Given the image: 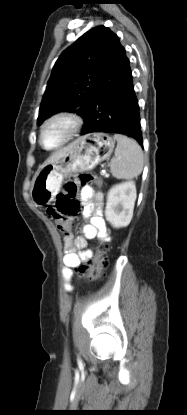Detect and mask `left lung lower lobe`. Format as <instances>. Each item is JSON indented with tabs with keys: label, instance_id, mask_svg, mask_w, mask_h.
Listing matches in <instances>:
<instances>
[{
	"label": "left lung lower lobe",
	"instance_id": "1",
	"mask_svg": "<svg viewBox=\"0 0 187 415\" xmlns=\"http://www.w3.org/2000/svg\"><path fill=\"white\" fill-rule=\"evenodd\" d=\"M96 113L84 120L81 134L118 133L134 138L142 147L138 100L124 47L116 40L96 83L92 99Z\"/></svg>",
	"mask_w": 187,
	"mask_h": 415
}]
</instances>
